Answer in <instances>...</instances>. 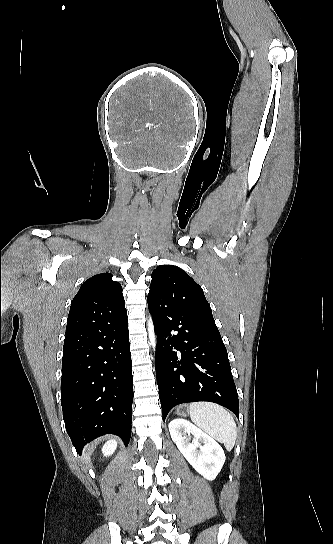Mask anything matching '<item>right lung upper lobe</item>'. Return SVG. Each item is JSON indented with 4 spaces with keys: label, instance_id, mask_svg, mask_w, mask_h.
Listing matches in <instances>:
<instances>
[{
    "label": "right lung upper lobe",
    "instance_id": "1",
    "mask_svg": "<svg viewBox=\"0 0 333 544\" xmlns=\"http://www.w3.org/2000/svg\"><path fill=\"white\" fill-rule=\"evenodd\" d=\"M126 314L121 285L111 273L94 275L86 280L74 297L68 316L66 334Z\"/></svg>",
    "mask_w": 333,
    "mask_h": 544
}]
</instances>
